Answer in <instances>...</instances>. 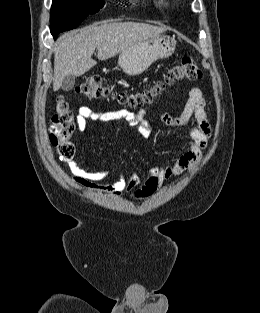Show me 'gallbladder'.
I'll use <instances>...</instances> for the list:
<instances>
[{"instance_id":"1","label":"gallbladder","mask_w":260,"mask_h":313,"mask_svg":"<svg viewBox=\"0 0 260 313\" xmlns=\"http://www.w3.org/2000/svg\"><path fill=\"white\" fill-rule=\"evenodd\" d=\"M75 84V76L68 75L63 79L61 88L63 91H69L74 87Z\"/></svg>"}]
</instances>
